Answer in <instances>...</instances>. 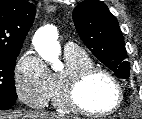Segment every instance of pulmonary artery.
<instances>
[{"label":"pulmonary artery","instance_id":"e3ab8cb5","mask_svg":"<svg viewBox=\"0 0 142 119\" xmlns=\"http://www.w3.org/2000/svg\"><path fill=\"white\" fill-rule=\"evenodd\" d=\"M64 48H65V52H73V51L79 50L78 46L72 42H67L64 45Z\"/></svg>","mask_w":142,"mask_h":119}]
</instances>
